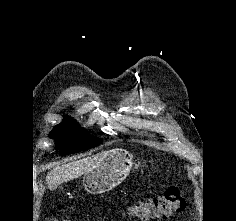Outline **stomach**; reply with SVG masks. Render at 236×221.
I'll list each match as a JSON object with an SVG mask.
<instances>
[{
	"instance_id": "0dacf381",
	"label": "stomach",
	"mask_w": 236,
	"mask_h": 221,
	"mask_svg": "<svg viewBox=\"0 0 236 221\" xmlns=\"http://www.w3.org/2000/svg\"><path fill=\"white\" fill-rule=\"evenodd\" d=\"M136 164L133 155L121 149L111 150L83 177L85 189L91 194L105 193L119 185Z\"/></svg>"
}]
</instances>
